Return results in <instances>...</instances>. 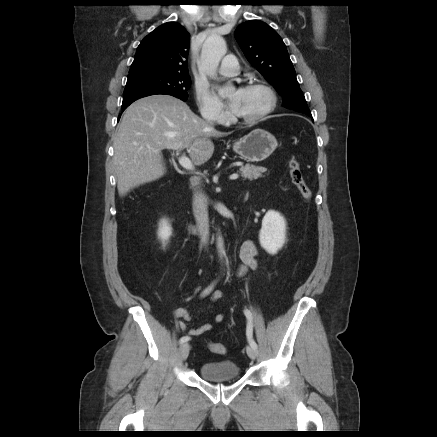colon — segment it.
<instances>
[{"instance_id": "colon-1", "label": "colon", "mask_w": 437, "mask_h": 437, "mask_svg": "<svg viewBox=\"0 0 437 437\" xmlns=\"http://www.w3.org/2000/svg\"><path fill=\"white\" fill-rule=\"evenodd\" d=\"M288 168L292 184L296 187L302 199L309 201L311 198V190L304 179L299 161L295 157H292L288 162ZM209 349L212 353L220 355L226 352V347L218 342L209 343Z\"/></svg>"}]
</instances>
